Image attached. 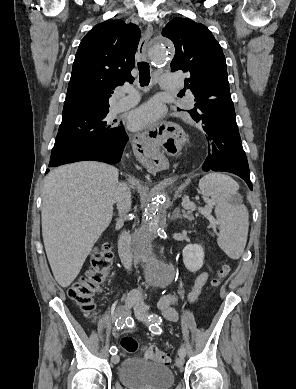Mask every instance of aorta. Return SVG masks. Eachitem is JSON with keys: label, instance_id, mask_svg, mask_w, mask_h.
Segmentation results:
<instances>
[{"label": "aorta", "instance_id": "1", "mask_svg": "<svg viewBox=\"0 0 296 389\" xmlns=\"http://www.w3.org/2000/svg\"><path fill=\"white\" fill-rule=\"evenodd\" d=\"M169 46V41L164 38L153 42L149 57L151 66H172L174 52ZM169 204V198L165 193H156L147 204L142 226L133 237L134 250L144 262L146 281L160 288L169 285L174 271L170 265L155 257L152 243L165 227L166 209Z\"/></svg>", "mask_w": 296, "mask_h": 389}]
</instances>
